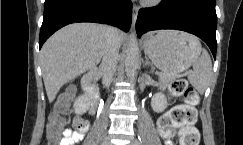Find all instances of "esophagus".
I'll return each mask as SVG.
<instances>
[{
	"mask_svg": "<svg viewBox=\"0 0 243 145\" xmlns=\"http://www.w3.org/2000/svg\"><path fill=\"white\" fill-rule=\"evenodd\" d=\"M137 16H138V7L137 5L133 4L132 6V24L133 27H135L136 21H137Z\"/></svg>",
	"mask_w": 243,
	"mask_h": 145,
	"instance_id": "34e87169",
	"label": "esophagus"
}]
</instances>
